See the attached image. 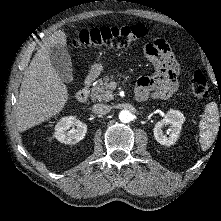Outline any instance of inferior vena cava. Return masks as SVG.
<instances>
[{
	"label": "inferior vena cava",
	"instance_id": "inferior-vena-cava-1",
	"mask_svg": "<svg viewBox=\"0 0 221 221\" xmlns=\"http://www.w3.org/2000/svg\"><path fill=\"white\" fill-rule=\"evenodd\" d=\"M110 110H111L110 106L106 104H95L92 107L93 113L98 114V115H105L109 113Z\"/></svg>",
	"mask_w": 221,
	"mask_h": 221
}]
</instances>
